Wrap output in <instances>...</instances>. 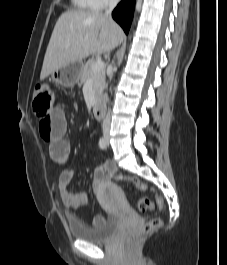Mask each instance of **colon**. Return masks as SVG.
<instances>
[{
    "label": "colon",
    "mask_w": 227,
    "mask_h": 265,
    "mask_svg": "<svg viewBox=\"0 0 227 265\" xmlns=\"http://www.w3.org/2000/svg\"><path fill=\"white\" fill-rule=\"evenodd\" d=\"M53 100V92L49 88L48 85L44 83H37L35 85L34 90V109L39 117V120H42V116H49L51 104ZM40 122V121H39ZM114 178H121L129 183H131L135 188L141 191H153L147 184L142 182L136 177L133 176H124L120 177L117 175L112 174ZM156 206L158 208L163 207V200L162 198L155 194ZM138 207L142 212H146L152 210L154 208V204L148 198H141L138 201ZM162 225V221L159 218H154L148 221L140 230L139 233H132L126 236L125 241L127 244H132L135 242L140 234H149L156 230H158Z\"/></svg>",
    "instance_id": "1"
}]
</instances>
